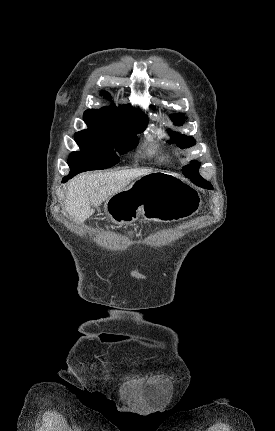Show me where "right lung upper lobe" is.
I'll return each mask as SVG.
<instances>
[{"label": "right lung upper lobe", "instance_id": "1", "mask_svg": "<svg viewBox=\"0 0 275 431\" xmlns=\"http://www.w3.org/2000/svg\"><path fill=\"white\" fill-rule=\"evenodd\" d=\"M103 96L109 97L107 92H102ZM124 114V117H122ZM84 120L88 123L103 121L119 122L127 127L135 128L147 124V118L140 110L133 109L130 104H124L117 108L112 105L101 109H89L84 113Z\"/></svg>", "mask_w": 275, "mask_h": 431}]
</instances>
